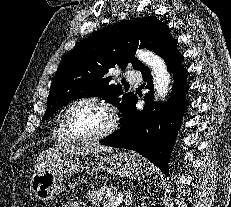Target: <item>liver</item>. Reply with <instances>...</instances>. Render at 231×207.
<instances>
[{"mask_svg":"<svg viewBox=\"0 0 231 207\" xmlns=\"http://www.w3.org/2000/svg\"><path fill=\"white\" fill-rule=\"evenodd\" d=\"M111 150V147L100 146L98 144H83L79 146L72 145L60 149L46 150L44 153L39 155L34 168L35 170H41L51 167L59 159L67 156L90 155Z\"/></svg>","mask_w":231,"mask_h":207,"instance_id":"1","label":"liver"}]
</instances>
